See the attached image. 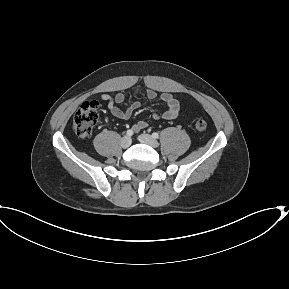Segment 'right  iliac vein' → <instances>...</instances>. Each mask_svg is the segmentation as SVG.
<instances>
[{"instance_id":"1","label":"right iliac vein","mask_w":289,"mask_h":289,"mask_svg":"<svg viewBox=\"0 0 289 289\" xmlns=\"http://www.w3.org/2000/svg\"><path fill=\"white\" fill-rule=\"evenodd\" d=\"M131 138L128 137V136H124L122 139H121V147L122 148H128L130 145H131Z\"/></svg>"}]
</instances>
